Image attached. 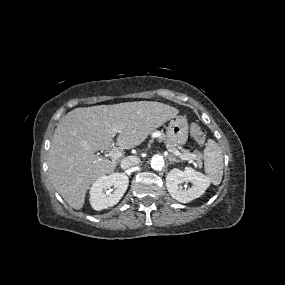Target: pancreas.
<instances>
[{"label": "pancreas", "instance_id": "obj_1", "mask_svg": "<svg viewBox=\"0 0 285 285\" xmlns=\"http://www.w3.org/2000/svg\"><path fill=\"white\" fill-rule=\"evenodd\" d=\"M159 138H160V139H163L162 136H160ZM167 148H168L169 150H177V148H176L175 146H173L172 144H169V143L167 144ZM180 149H181V148H180ZM182 151L184 152V154H189L188 151H186V150H183V149H182ZM200 158H202V155H201L200 153H198V154L196 155V160H198V163H199V164L201 163Z\"/></svg>", "mask_w": 285, "mask_h": 285}]
</instances>
